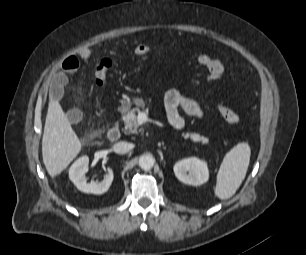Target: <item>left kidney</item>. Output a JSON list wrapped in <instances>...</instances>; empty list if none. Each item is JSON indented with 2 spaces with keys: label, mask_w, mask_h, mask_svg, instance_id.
<instances>
[{
  "label": "left kidney",
  "mask_w": 306,
  "mask_h": 255,
  "mask_svg": "<svg viewBox=\"0 0 306 255\" xmlns=\"http://www.w3.org/2000/svg\"><path fill=\"white\" fill-rule=\"evenodd\" d=\"M175 176L183 183L199 186L209 179V170L205 161L190 157L178 161L174 165Z\"/></svg>",
  "instance_id": "1"
}]
</instances>
